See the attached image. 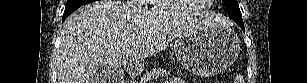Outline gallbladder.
I'll use <instances>...</instances> for the list:
<instances>
[{
	"label": "gallbladder",
	"instance_id": "obj_1",
	"mask_svg": "<svg viewBox=\"0 0 307 83\" xmlns=\"http://www.w3.org/2000/svg\"><path fill=\"white\" fill-rule=\"evenodd\" d=\"M123 71L105 66L96 67L90 74L91 83H121Z\"/></svg>",
	"mask_w": 307,
	"mask_h": 83
}]
</instances>
